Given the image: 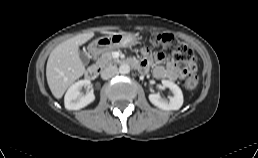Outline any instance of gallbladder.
Segmentation results:
<instances>
[{"label": "gallbladder", "mask_w": 258, "mask_h": 158, "mask_svg": "<svg viewBox=\"0 0 258 158\" xmlns=\"http://www.w3.org/2000/svg\"><path fill=\"white\" fill-rule=\"evenodd\" d=\"M79 57H80V59H81V61L84 65H87L90 61V57L87 54V52H85V51H80L79 52Z\"/></svg>", "instance_id": "obj_1"}]
</instances>
